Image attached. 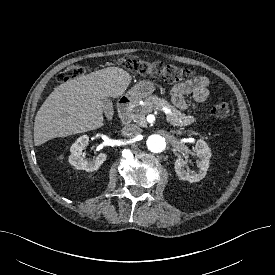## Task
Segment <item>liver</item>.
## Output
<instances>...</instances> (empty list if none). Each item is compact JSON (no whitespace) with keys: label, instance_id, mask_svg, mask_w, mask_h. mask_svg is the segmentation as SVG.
Masks as SVG:
<instances>
[{"label":"liver","instance_id":"6515ba94","mask_svg":"<svg viewBox=\"0 0 275 275\" xmlns=\"http://www.w3.org/2000/svg\"><path fill=\"white\" fill-rule=\"evenodd\" d=\"M131 80L125 70L107 67L60 84L36 114L35 145L104 126L103 100L122 96Z\"/></svg>","mask_w":275,"mask_h":275}]
</instances>
